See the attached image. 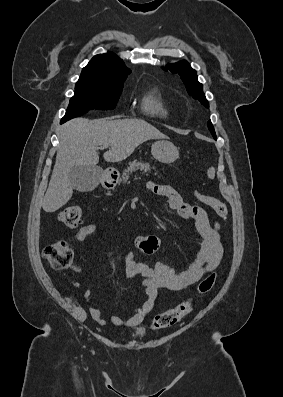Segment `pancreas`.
<instances>
[{
	"label": "pancreas",
	"instance_id": "1",
	"mask_svg": "<svg viewBox=\"0 0 283 397\" xmlns=\"http://www.w3.org/2000/svg\"><path fill=\"white\" fill-rule=\"evenodd\" d=\"M153 169H155V167H153ZM137 170H141L144 172H150L151 167H150L149 163L143 162L141 160H139V161L134 160V161L130 162L127 169L124 170V172L122 174L121 181L123 183H126L127 180L129 179L130 174Z\"/></svg>",
	"mask_w": 283,
	"mask_h": 397
}]
</instances>
